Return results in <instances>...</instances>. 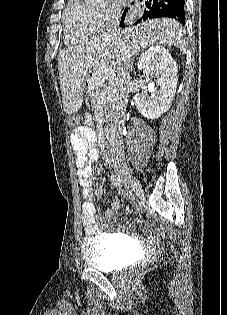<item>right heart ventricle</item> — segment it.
I'll return each mask as SVG.
<instances>
[{
    "label": "right heart ventricle",
    "instance_id": "right-heart-ventricle-1",
    "mask_svg": "<svg viewBox=\"0 0 227 315\" xmlns=\"http://www.w3.org/2000/svg\"><path fill=\"white\" fill-rule=\"evenodd\" d=\"M64 37L67 45L87 41L99 34L101 26L96 10L82 0H68L63 12Z\"/></svg>",
    "mask_w": 227,
    "mask_h": 315
}]
</instances>
